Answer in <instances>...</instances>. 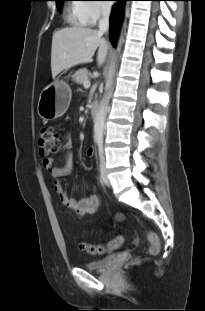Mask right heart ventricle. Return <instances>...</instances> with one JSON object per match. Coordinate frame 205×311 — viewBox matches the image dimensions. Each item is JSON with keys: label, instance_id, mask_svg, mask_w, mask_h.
<instances>
[{"label": "right heart ventricle", "instance_id": "obj_1", "mask_svg": "<svg viewBox=\"0 0 205 311\" xmlns=\"http://www.w3.org/2000/svg\"><path fill=\"white\" fill-rule=\"evenodd\" d=\"M81 4H72L68 13V21L75 26H85L88 22L82 11Z\"/></svg>", "mask_w": 205, "mask_h": 311}]
</instances>
